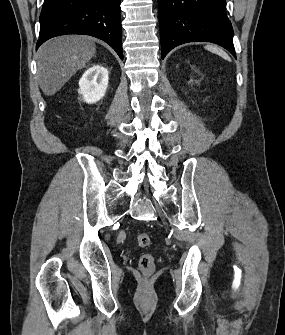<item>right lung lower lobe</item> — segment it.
<instances>
[{
  "instance_id": "right-lung-lower-lobe-1",
  "label": "right lung lower lobe",
  "mask_w": 285,
  "mask_h": 335,
  "mask_svg": "<svg viewBox=\"0 0 285 335\" xmlns=\"http://www.w3.org/2000/svg\"><path fill=\"white\" fill-rule=\"evenodd\" d=\"M66 34L104 40L123 59L120 0H44L36 49Z\"/></svg>"
}]
</instances>
